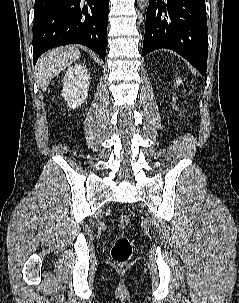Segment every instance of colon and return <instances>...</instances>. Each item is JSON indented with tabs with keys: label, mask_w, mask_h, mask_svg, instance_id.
<instances>
[{
	"label": "colon",
	"mask_w": 239,
	"mask_h": 303,
	"mask_svg": "<svg viewBox=\"0 0 239 303\" xmlns=\"http://www.w3.org/2000/svg\"><path fill=\"white\" fill-rule=\"evenodd\" d=\"M118 225L123 231L128 229L130 226L128 215L124 213L120 214L118 216ZM132 251L133 248L130 238L126 234L122 233L116 238L111 249L112 260L119 265L126 264L132 256Z\"/></svg>",
	"instance_id": "1"
}]
</instances>
